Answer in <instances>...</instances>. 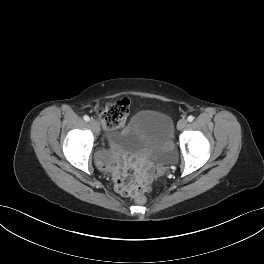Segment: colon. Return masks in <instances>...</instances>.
Wrapping results in <instances>:
<instances>
[{"mask_svg": "<svg viewBox=\"0 0 264 264\" xmlns=\"http://www.w3.org/2000/svg\"><path fill=\"white\" fill-rule=\"evenodd\" d=\"M129 109V100L127 98H122L110 103L104 108H99L97 115L105 128L116 129L124 124L129 114ZM165 171L163 166L158 167V172L160 174H164ZM116 183L119 185V192L121 195L132 197L141 205L146 203L147 198L145 193L148 187L143 176L134 172L127 174L122 173L117 177Z\"/></svg>", "mask_w": 264, "mask_h": 264, "instance_id": "5ec220e1", "label": "colon"}]
</instances>
